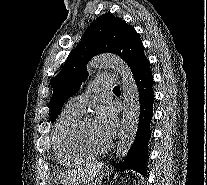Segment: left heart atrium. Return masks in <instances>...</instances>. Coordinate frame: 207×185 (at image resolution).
<instances>
[{
	"instance_id": "39dd6f15",
	"label": "left heart atrium",
	"mask_w": 207,
	"mask_h": 185,
	"mask_svg": "<svg viewBox=\"0 0 207 185\" xmlns=\"http://www.w3.org/2000/svg\"><path fill=\"white\" fill-rule=\"evenodd\" d=\"M94 124L97 130L107 139L112 138L118 128V119L114 108L108 105L99 106L96 111Z\"/></svg>"
}]
</instances>
